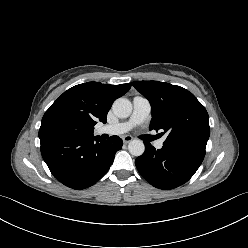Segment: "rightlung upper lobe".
<instances>
[{
    "label": "right lung upper lobe",
    "mask_w": 248,
    "mask_h": 248,
    "mask_svg": "<svg viewBox=\"0 0 248 248\" xmlns=\"http://www.w3.org/2000/svg\"><path fill=\"white\" fill-rule=\"evenodd\" d=\"M130 87V83L109 85L99 82L73 86L59 96L45 112L41 126L54 118L65 117L77 122L84 135H93L97 121L106 123L112 103Z\"/></svg>",
    "instance_id": "cb5924a9"
}]
</instances>
